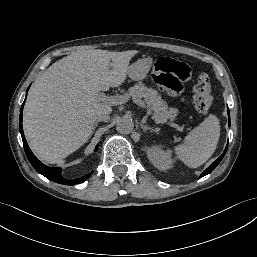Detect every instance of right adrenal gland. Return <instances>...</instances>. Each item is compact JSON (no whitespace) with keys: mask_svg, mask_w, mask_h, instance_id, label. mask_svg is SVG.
Instances as JSON below:
<instances>
[{"mask_svg":"<svg viewBox=\"0 0 257 257\" xmlns=\"http://www.w3.org/2000/svg\"><path fill=\"white\" fill-rule=\"evenodd\" d=\"M97 125H98V122L95 123L93 131L96 129Z\"/></svg>","mask_w":257,"mask_h":257,"instance_id":"obj_1","label":"right adrenal gland"}]
</instances>
